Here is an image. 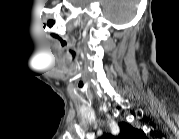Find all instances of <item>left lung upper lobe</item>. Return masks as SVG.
I'll use <instances>...</instances> for the list:
<instances>
[{"instance_id": "1", "label": "left lung upper lobe", "mask_w": 179, "mask_h": 139, "mask_svg": "<svg viewBox=\"0 0 179 139\" xmlns=\"http://www.w3.org/2000/svg\"><path fill=\"white\" fill-rule=\"evenodd\" d=\"M120 134L118 137V139H143L145 137V134L143 133V131L135 129L133 127H131L129 124L127 123H120ZM110 138H113V136H110Z\"/></svg>"}]
</instances>
